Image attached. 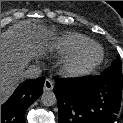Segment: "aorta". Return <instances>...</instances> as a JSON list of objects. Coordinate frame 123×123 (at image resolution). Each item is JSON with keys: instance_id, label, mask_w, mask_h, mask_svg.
I'll use <instances>...</instances> for the list:
<instances>
[{"instance_id": "1", "label": "aorta", "mask_w": 123, "mask_h": 123, "mask_svg": "<svg viewBox=\"0 0 123 123\" xmlns=\"http://www.w3.org/2000/svg\"><path fill=\"white\" fill-rule=\"evenodd\" d=\"M41 101L44 106H53L56 104L57 99L52 91H44L41 95Z\"/></svg>"}]
</instances>
